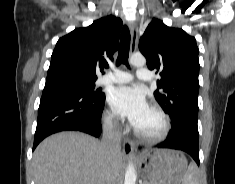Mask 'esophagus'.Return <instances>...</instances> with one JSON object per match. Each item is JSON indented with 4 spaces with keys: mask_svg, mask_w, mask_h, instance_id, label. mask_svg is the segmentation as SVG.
I'll list each match as a JSON object with an SVG mask.
<instances>
[{
    "mask_svg": "<svg viewBox=\"0 0 235 184\" xmlns=\"http://www.w3.org/2000/svg\"><path fill=\"white\" fill-rule=\"evenodd\" d=\"M138 42V27L132 22L131 24V45H130V54H134L136 51ZM135 152V145L131 140L125 139L123 142L122 153L124 156H133Z\"/></svg>",
    "mask_w": 235,
    "mask_h": 184,
    "instance_id": "esophagus-1",
    "label": "esophagus"
}]
</instances>
